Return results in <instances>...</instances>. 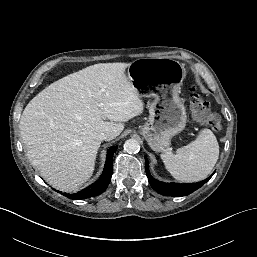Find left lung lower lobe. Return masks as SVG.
Listing matches in <instances>:
<instances>
[{
	"label": "left lung lower lobe",
	"mask_w": 257,
	"mask_h": 257,
	"mask_svg": "<svg viewBox=\"0 0 257 257\" xmlns=\"http://www.w3.org/2000/svg\"><path fill=\"white\" fill-rule=\"evenodd\" d=\"M145 164H146V174L151 187L159 194H162L165 196L180 197V196L189 195L195 190H197L198 188H200L207 181H209L211 176L214 174L213 173L209 178L198 183H192V184L163 183L156 180L150 175L147 158H145Z\"/></svg>",
	"instance_id": "left-lung-lower-lobe-1"
}]
</instances>
